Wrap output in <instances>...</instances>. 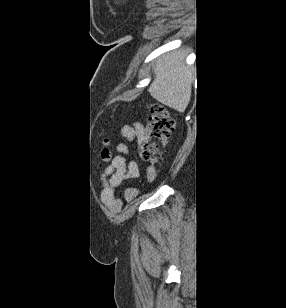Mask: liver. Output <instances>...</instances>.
Here are the masks:
<instances>
[{
	"instance_id": "obj_1",
	"label": "liver",
	"mask_w": 286,
	"mask_h": 308,
	"mask_svg": "<svg viewBox=\"0 0 286 308\" xmlns=\"http://www.w3.org/2000/svg\"><path fill=\"white\" fill-rule=\"evenodd\" d=\"M185 55L171 52L160 56L154 67V80L148 91L158 102L179 112L191 100L193 71L184 63Z\"/></svg>"
}]
</instances>
